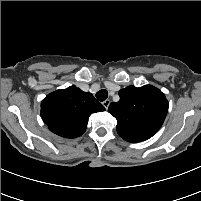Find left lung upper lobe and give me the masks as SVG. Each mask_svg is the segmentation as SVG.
I'll use <instances>...</instances> for the list:
<instances>
[{
	"label": "left lung upper lobe",
	"instance_id": "obj_1",
	"mask_svg": "<svg viewBox=\"0 0 201 201\" xmlns=\"http://www.w3.org/2000/svg\"><path fill=\"white\" fill-rule=\"evenodd\" d=\"M120 100L109 105L117 119V132L124 140L136 143L151 138L162 126L169 103L156 87L128 86L119 91Z\"/></svg>",
	"mask_w": 201,
	"mask_h": 201
}]
</instances>
